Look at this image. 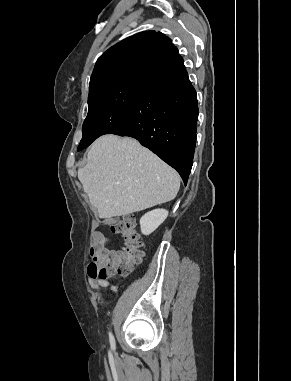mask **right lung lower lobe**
I'll list each match as a JSON object with an SVG mask.
<instances>
[{"label": "right lung lower lobe", "instance_id": "1", "mask_svg": "<svg viewBox=\"0 0 291 381\" xmlns=\"http://www.w3.org/2000/svg\"><path fill=\"white\" fill-rule=\"evenodd\" d=\"M198 105L183 58L142 80L126 122L112 134L137 139L180 174L193 164Z\"/></svg>", "mask_w": 291, "mask_h": 381}]
</instances>
